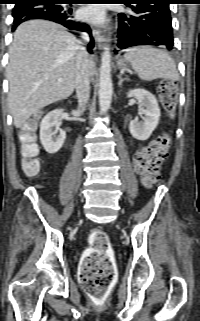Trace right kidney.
<instances>
[{
	"mask_svg": "<svg viewBox=\"0 0 200 321\" xmlns=\"http://www.w3.org/2000/svg\"><path fill=\"white\" fill-rule=\"evenodd\" d=\"M63 111V109H55L49 112L40 124V141L49 154L58 152L66 139V132L60 129V117ZM57 130H60L59 135H56Z\"/></svg>",
	"mask_w": 200,
	"mask_h": 321,
	"instance_id": "right-kidney-1",
	"label": "right kidney"
}]
</instances>
